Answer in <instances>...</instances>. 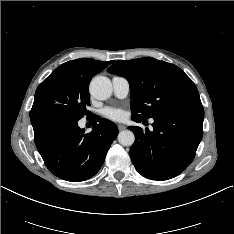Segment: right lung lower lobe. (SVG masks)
Listing matches in <instances>:
<instances>
[{
  "mask_svg": "<svg viewBox=\"0 0 234 234\" xmlns=\"http://www.w3.org/2000/svg\"><path fill=\"white\" fill-rule=\"evenodd\" d=\"M92 131L78 126V120L59 113L30 116L36 147L47 168L57 177L84 181L101 168L108 149L118 135L115 124L90 116Z\"/></svg>",
  "mask_w": 234,
  "mask_h": 234,
  "instance_id": "98d812e1",
  "label": "right lung lower lobe"
}]
</instances>
